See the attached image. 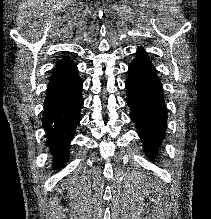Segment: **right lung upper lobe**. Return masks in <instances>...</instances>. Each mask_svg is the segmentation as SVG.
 I'll return each instance as SVG.
<instances>
[{
    "instance_id": "1",
    "label": "right lung upper lobe",
    "mask_w": 211,
    "mask_h": 219,
    "mask_svg": "<svg viewBox=\"0 0 211 219\" xmlns=\"http://www.w3.org/2000/svg\"><path fill=\"white\" fill-rule=\"evenodd\" d=\"M69 60H70V59H68V58L62 59L61 61L58 62V64L56 65V67L59 66L60 64L64 63V62L69 61Z\"/></svg>"
}]
</instances>
